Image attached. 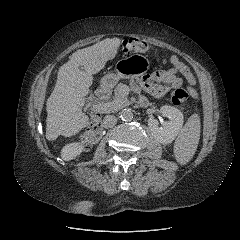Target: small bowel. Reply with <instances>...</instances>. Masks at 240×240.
Segmentation results:
<instances>
[{"label": "small bowel", "instance_id": "obj_1", "mask_svg": "<svg viewBox=\"0 0 240 240\" xmlns=\"http://www.w3.org/2000/svg\"><path fill=\"white\" fill-rule=\"evenodd\" d=\"M172 67L165 70L156 71L150 78L143 77V81L135 80L132 82V89L135 92H140L144 88L156 99L164 98L171 89H176L182 86L183 76L190 85L194 83V77L191 70L185 65L176 55H172L169 59ZM192 95H195L193 89H190ZM141 103L147 104L145 97H141Z\"/></svg>", "mask_w": 240, "mask_h": 240}]
</instances>
